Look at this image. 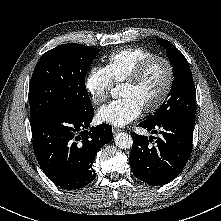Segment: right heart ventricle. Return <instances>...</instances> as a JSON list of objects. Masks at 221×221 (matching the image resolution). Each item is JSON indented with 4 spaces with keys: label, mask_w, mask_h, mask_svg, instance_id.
I'll use <instances>...</instances> for the list:
<instances>
[{
    "label": "right heart ventricle",
    "mask_w": 221,
    "mask_h": 221,
    "mask_svg": "<svg viewBox=\"0 0 221 221\" xmlns=\"http://www.w3.org/2000/svg\"><path fill=\"white\" fill-rule=\"evenodd\" d=\"M156 55V52L140 46L117 50L109 54L107 69L113 82L120 83L130 77L145 60Z\"/></svg>",
    "instance_id": "right-heart-ventricle-1"
}]
</instances>
